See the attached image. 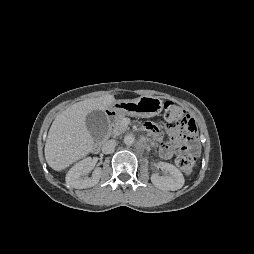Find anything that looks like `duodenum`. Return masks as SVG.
<instances>
[{
  "label": "duodenum",
  "instance_id": "obj_1",
  "mask_svg": "<svg viewBox=\"0 0 254 254\" xmlns=\"http://www.w3.org/2000/svg\"><path fill=\"white\" fill-rule=\"evenodd\" d=\"M117 114H118V113H117L116 111H109V112L107 113V118H108L109 120H112L113 118H115V117L117 116ZM99 150H100V148H99L98 145H96V146L93 148V152H94V153H98Z\"/></svg>",
  "mask_w": 254,
  "mask_h": 254
}]
</instances>
